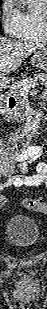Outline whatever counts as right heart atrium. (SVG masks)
<instances>
[{
    "label": "right heart atrium",
    "instance_id": "obj_1",
    "mask_svg": "<svg viewBox=\"0 0 47 309\" xmlns=\"http://www.w3.org/2000/svg\"><path fill=\"white\" fill-rule=\"evenodd\" d=\"M1 22L4 32L10 37L17 38L22 27V13L14 0H2Z\"/></svg>",
    "mask_w": 47,
    "mask_h": 309
}]
</instances>
